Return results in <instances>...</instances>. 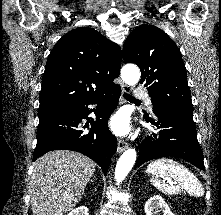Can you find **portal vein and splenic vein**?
I'll use <instances>...</instances> for the list:
<instances>
[{"label": "portal vein and splenic vein", "instance_id": "1", "mask_svg": "<svg viewBox=\"0 0 221 215\" xmlns=\"http://www.w3.org/2000/svg\"><path fill=\"white\" fill-rule=\"evenodd\" d=\"M168 182L173 183V182H171V180H168Z\"/></svg>", "mask_w": 221, "mask_h": 215}]
</instances>
